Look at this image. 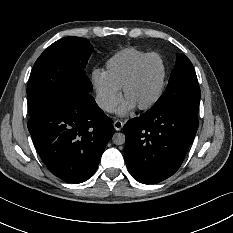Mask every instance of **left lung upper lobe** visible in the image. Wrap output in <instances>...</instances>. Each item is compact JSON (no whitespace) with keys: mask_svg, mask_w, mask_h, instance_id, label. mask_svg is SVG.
Returning <instances> with one entry per match:
<instances>
[{"mask_svg":"<svg viewBox=\"0 0 233 233\" xmlns=\"http://www.w3.org/2000/svg\"><path fill=\"white\" fill-rule=\"evenodd\" d=\"M200 87L193 65L184 54H177L176 65L173 69L165 92L150 108V110H165L173 108L199 107Z\"/></svg>","mask_w":233,"mask_h":233,"instance_id":"1","label":"left lung upper lobe"}]
</instances>
